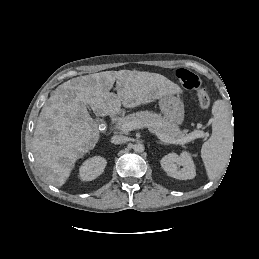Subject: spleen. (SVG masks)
<instances>
[{"label":"spleen","instance_id":"obj_1","mask_svg":"<svg viewBox=\"0 0 259 259\" xmlns=\"http://www.w3.org/2000/svg\"><path fill=\"white\" fill-rule=\"evenodd\" d=\"M212 135L203 144L201 158L209 179H215L225 169L232 150L233 128L228 106L216 100L212 106Z\"/></svg>","mask_w":259,"mask_h":259}]
</instances>
